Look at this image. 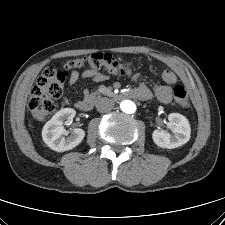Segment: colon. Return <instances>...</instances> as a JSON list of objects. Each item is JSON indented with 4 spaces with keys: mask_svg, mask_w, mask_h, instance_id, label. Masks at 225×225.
<instances>
[{
    "mask_svg": "<svg viewBox=\"0 0 225 225\" xmlns=\"http://www.w3.org/2000/svg\"><path fill=\"white\" fill-rule=\"evenodd\" d=\"M84 67H91L115 75H129L136 70L131 63L103 52L75 58L68 62V68L80 69ZM159 76L166 83L176 82V76L170 70H163ZM66 79L67 72L60 69L58 65L50 66L42 72L32 89L28 103L34 119L43 121L55 111V100L61 97ZM173 96L178 106L182 108L189 106V97L182 85L177 84L173 87Z\"/></svg>",
    "mask_w": 225,
    "mask_h": 225,
    "instance_id": "colon-1",
    "label": "colon"
}]
</instances>
